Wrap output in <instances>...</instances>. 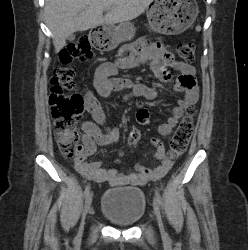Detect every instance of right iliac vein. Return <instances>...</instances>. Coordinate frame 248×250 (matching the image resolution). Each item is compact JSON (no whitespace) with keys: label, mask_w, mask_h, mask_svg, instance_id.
<instances>
[{"label":"right iliac vein","mask_w":248,"mask_h":250,"mask_svg":"<svg viewBox=\"0 0 248 250\" xmlns=\"http://www.w3.org/2000/svg\"><path fill=\"white\" fill-rule=\"evenodd\" d=\"M91 203H92V194L89 193L85 199L84 209H83V213H82V222L80 225V231L83 230L84 220H85V217H86L88 211L90 210Z\"/></svg>","instance_id":"right-iliac-vein-1"}]
</instances>
